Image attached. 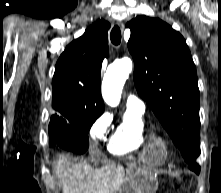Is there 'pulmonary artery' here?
Masks as SVG:
<instances>
[{"mask_svg": "<svg viewBox=\"0 0 221 193\" xmlns=\"http://www.w3.org/2000/svg\"><path fill=\"white\" fill-rule=\"evenodd\" d=\"M126 105L128 109L136 112H144L145 109L144 102L132 94L128 95Z\"/></svg>", "mask_w": 221, "mask_h": 193, "instance_id": "obj_1", "label": "pulmonary artery"}]
</instances>
